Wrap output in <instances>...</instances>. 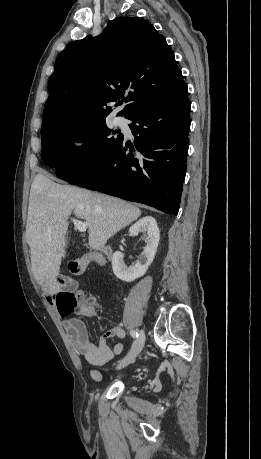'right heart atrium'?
I'll return each instance as SVG.
<instances>
[{"instance_id":"1","label":"right heart atrium","mask_w":261,"mask_h":459,"mask_svg":"<svg viewBox=\"0 0 261 459\" xmlns=\"http://www.w3.org/2000/svg\"><path fill=\"white\" fill-rule=\"evenodd\" d=\"M90 142V137L85 131L75 132L70 139L72 156L78 157L83 154L88 149Z\"/></svg>"}]
</instances>
